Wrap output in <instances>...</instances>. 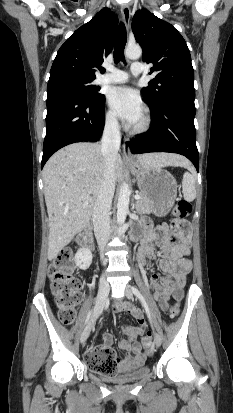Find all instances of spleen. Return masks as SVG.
Instances as JSON below:
<instances>
[{"label": "spleen", "instance_id": "obj_1", "mask_svg": "<svg viewBox=\"0 0 233 413\" xmlns=\"http://www.w3.org/2000/svg\"><path fill=\"white\" fill-rule=\"evenodd\" d=\"M196 178L190 172H185L182 180L183 194L186 201H193L196 198L195 188Z\"/></svg>", "mask_w": 233, "mask_h": 413}]
</instances>
